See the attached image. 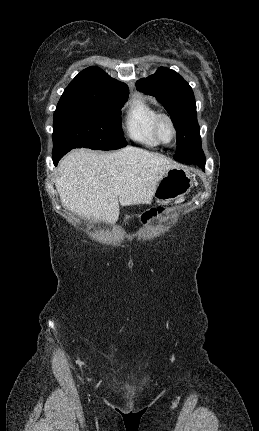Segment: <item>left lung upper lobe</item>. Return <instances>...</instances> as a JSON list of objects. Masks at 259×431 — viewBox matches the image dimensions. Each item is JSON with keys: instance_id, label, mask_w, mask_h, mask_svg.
Returning a JSON list of instances; mask_svg holds the SVG:
<instances>
[{"instance_id": "obj_1", "label": "left lung upper lobe", "mask_w": 259, "mask_h": 431, "mask_svg": "<svg viewBox=\"0 0 259 431\" xmlns=\"http://www.w3.org/2000/svg\"><path fill=\"white\" fill-rule=\"evenodd\" d=\"M136 87L156 97L171 115L177 133L174 159L186 164H197L204 160L196 103L189 84L175 71L160 67L155 74L138 80Z\"/></svg>"}]
</instances>
